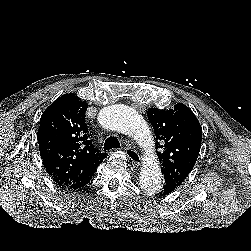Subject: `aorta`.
Returning a JSON list of instances; mask_svg holds the SVG:
<instances>
[{
	"mask_svg": "<svg viewBox=\"0 0 251 251\" xmlns=\"http://www.w3.org/2000/svg\"><path fill=\"white\" fill-rule=\"evenodd\" d=\"M98 121L106 129L132 137L146 150L148 158L140 173V187L147 195L160 191L163 176L153 153V137L144 118L126 105H113L99 112Z\"/></svg>",
	"mask_w": 251,
	"mask_h": 251,
	"instance_id": "1",
	"label": "aorta"
}]
</instances>
